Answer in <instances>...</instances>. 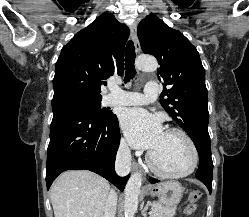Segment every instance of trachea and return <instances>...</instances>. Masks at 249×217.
Instances as JSON below:
<instances>
[{"instance_id":"trachea-1","label":"trachea","mask_w":249,"mask_h":217,"mask_svg":"<svg viewBox=\"0 0 249 217\" xmlns=\"http://www.w3.org/2000/svg\"><path fill=\"white\" fill-rule=\"evenodd\" d=\"M136 54H135V47L132 40H130L126 45L125 50V83L130 81L131 78H134L136 75L134 62H135Z\"/></svg>"}]
</instances>
